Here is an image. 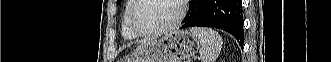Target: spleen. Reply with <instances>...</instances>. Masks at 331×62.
<instances>
[{"mask_svg":"<svg viewBox=\"0 0 331 62\" xmlns=\"http://www.w3.org/2000/svg\"><path fill=\"white\" fill-rule=\"evenodd\" d=\"M190 32L200 39V58L202 62H214L220 54L223 44L221 36L208 28L194 27Z\"/></svg>","mask_w":331,"mask_h":62,"instance_id":"3e777b00","label":"spleen"}]
</instances>
